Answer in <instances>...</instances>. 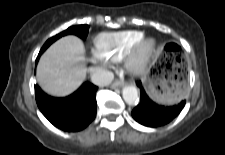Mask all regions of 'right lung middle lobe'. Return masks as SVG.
<instances>
[{"instance_id": "1", "label": "right lung middle lobe", "mask_w": 225, "mask_h": 155, "mask_svg": "<svg viewBox=\"0 0 225 155\" xmlns=\"http://www.w3.org/2000/svg\"><path fill=\"white\" fill-rule=\"evenodd\" d=\"M88 29L89 26L88 25H77V26H71L69 27L67 30L59 33L58 35L50 38L41 48L39 54L41 55L48 47L50 44H52L55 40H57L58 38L67 35V34H75L77 36H79L80 38L85 39L88 35Z\"/></svg>"}]
</instances>
